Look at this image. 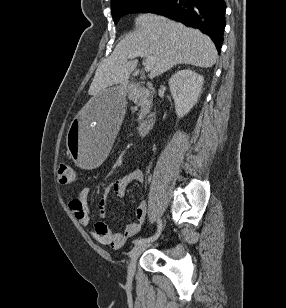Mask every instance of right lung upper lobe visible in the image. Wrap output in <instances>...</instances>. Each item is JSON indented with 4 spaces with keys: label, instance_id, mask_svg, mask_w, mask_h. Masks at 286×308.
<instances>
[{
    "label": "right lung upper lobe",
    "instance_id": "right-lung-upper-lobe-1",
    "mask_svg": "<svg viewBox=\"0 0 286 308\" xmlns=\"http://www.w3.org/2000/svg\"><path fill=\"white\" fill-rule=\"evenodd\" d=\"M116 1H118V0H111V4L116 3Z\"/></svg>",
    "mask_w": 286,
    "mask_h": 308
}]
</instances>
